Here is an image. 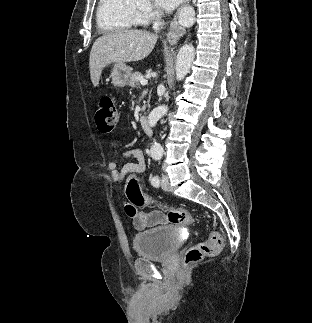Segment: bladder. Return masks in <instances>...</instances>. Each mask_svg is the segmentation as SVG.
Here are the masks:
<instances>
[{
    "instance_id": "obj_1",
    "label": "bladder",
    "mask_w": 312,
    "mask_h": 323,
    "mask_svg": "<svg viewBox=\"0 0 312 323\" xmlns=\"http://www.w3.org/2000/svg\"><path fill=\"white\" fill-rule=\"evenodd\" d=\"M136 253L146 259H168L172 252H177L180 239L176 229L158 226L152 230L134 235Z\"/></svg>"
}]
</instances>
